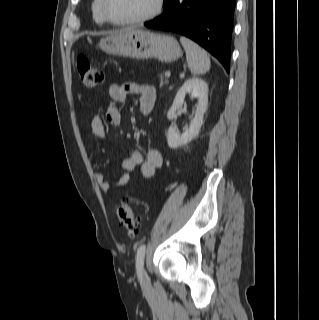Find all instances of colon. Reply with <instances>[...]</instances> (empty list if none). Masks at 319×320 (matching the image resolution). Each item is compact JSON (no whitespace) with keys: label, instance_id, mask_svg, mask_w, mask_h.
I'll list each match as a JSON object with an SVG mask.
<instances>
[{"label":"colon","instance_id":"obj_1","mask_svg":"<svg viewBox=\"0 0 319 320\" xmlns=\"http://www.w3.org/2000/svg\"><path fill=\"white\" fill-rule=\"evenodd\" d=\"M76 64L82 83L87 88H94L103 82V73L87 57L79 56ZM114 214L120 226L126 230L129 236L133 237L141 232V218L128 198H124L116 204Z\"/></svg>","mask_w":319,"mask_h":320}]
</instances>
